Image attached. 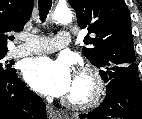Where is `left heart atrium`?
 Returning a JSON list of instances; mask_svg holds the SVG:
<instances>
[{
	"label": "left heart atrium",
	"instance_id": "left-heart-atrium-1",
	"mask_svg": "<svg viewBox=\"0 0 142 119\" xmlns=\"http://www.w3.org/2000/svg\"><path fill=\"white\" fill-rule=\"evenodd\" d=\"M24 78L34 90L54 97L68 95L74 82L68 62L49 57L31 59L24 68Z\"/></svg>",
	"mask_w": 142,
	"mask_h": 119
}]
</instances>
